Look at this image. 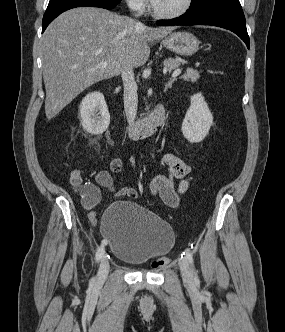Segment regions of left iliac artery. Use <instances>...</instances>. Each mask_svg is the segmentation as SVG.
I'll list each match as a JSON object with an SVG mask.
<instances>
[{"instance_id":"44dca946","label":"left iliac artery","mask_w":285,"mask_h":332,"mask_svg":"<svg viewBox=\"0 0 285 332\" xmlns=\"http://www.w3.org/2000/svg\"><path fill=\"white\" fill-rule=\"evenodd\" d=\"M183 254L185 255V257L187 258L188 262L190 263V265L192 267L195 283H198L199 282L198 276H197L196 270L194 268L193 252L189 248H187V249H185V252H183Z\"/></svg>"}]
</instances>
